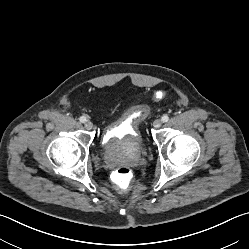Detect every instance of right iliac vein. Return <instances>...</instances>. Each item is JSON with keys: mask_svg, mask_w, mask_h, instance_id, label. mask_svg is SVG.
I'll return each mask as SVG.
<instances>
[{"mask_svg": "<svg viewBox=\"0 0 249 249\" xmlns=\"http://www.w3.org/2000/svg\"><path fill=\"white\" fill-rule=\"evenodd\" d=\"M84 126L87 130H91L93 128V123L91 121H86Z\"/></svg>", "mask_w": 249, "mask_h": 249, "instance_id": "obj_1", "label": "right iliac vein"}]
</instances>
